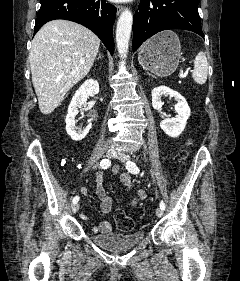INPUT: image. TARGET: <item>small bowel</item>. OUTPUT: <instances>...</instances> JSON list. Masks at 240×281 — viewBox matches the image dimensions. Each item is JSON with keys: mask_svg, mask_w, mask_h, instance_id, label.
Returning <instances> with one entry per match:
<instances>
[{"mask_svg": "<svg viewBox=\"0 0 240 281\" xmlns=\"http://www.w3.org/2000/svg\"><path fill=\"white\" fill-rule=\"evenodd\" d=\"M112 174L114 176H118L120 182L123 184L125 191H130L133 188V182L129 174L121 172L120 168L115 166L112 168ZM82 195L88 194V189L82 187L80 189ZM96 195L100 200V209L103 213H109L112 208V199L108 195L106 189L103 186V174L102 172H97L96 174ZM147 194L145 190L139 189L136 195L133 198H130L126 201L127 205L133 207L136 206L139 202L145 200ZM83 220H87L88 216L85 214L80 215ZM112 223L109 220H103L99 223V225L93 227L92 231L95 234H107L112 231Z\"/></svg>", "mask_w": 240, "mask_h": 281, "instance_id": "obj_1", "label": "small bowel"}]
</instances>
